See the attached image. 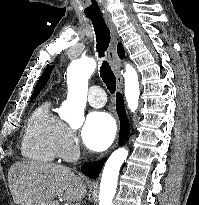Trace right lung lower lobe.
<instances>
[{"label": "right lung lower lobe", "mask_w": 199, "mask_h": 205, "mask_svg": "<svg viewBox=\"0 0 199 205\" xmlns=\"http://www.w3.org/2000/svg\"><path fill=\"white\" fill-rule=\"evenodd\" d=\"M116 109L120 118L119 144H122L129 134V124L126 117L123 99L120 93H117L116 95ZM104 162L105 159L84 164L81 167V170L88 177L97 178L99 173L101 172Z\"/></svg>", "instance_id": "obj_1"}]
</instances>
